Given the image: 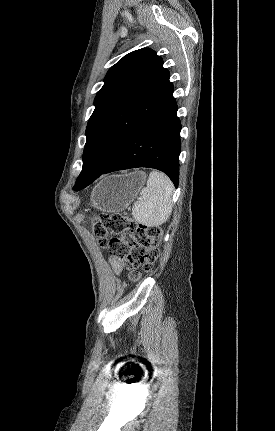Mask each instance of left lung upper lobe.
<instances>
[{"instance_id": "obj_1", "label": "left lung upper lobe", "mask_w": 275, "mask_h": 431, "mask_svg": "<svg viewBox=\"0 0 275 431\" xmlns=\"http://www.w3.org/2000/svg\"><path fill=\"white\" fill-rule=\"evenodd\" d=\"M169 76L149 48L125 55L109 69L87 124L80 174L99 173L116 159L172 94Z\"/></svg>"}]
</instances>
